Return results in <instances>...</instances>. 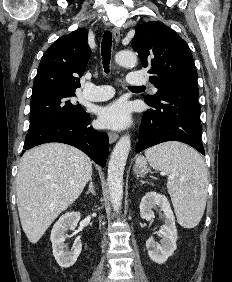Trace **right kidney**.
I'll return each instance as SVG.
<instances>
[{
	"label": "right kidney",
	"mask_w": 232,
	"mask_h": 282,
	"mask_svg": "<svg viewBox=\"0 0 232 282\" xmlns=\"http://www.w3.org/2000/svg\"><path fill=\"white\" fill-rule=\"evenodd\" d=\"M79 220V212H67L59 218L52 228L50 239L52 242L53 255L62 268H69L74 265L81 253L82 244L80 241H77L73 245L71 251L65 249L66 245L64 243L66 238L65 233L69 229L74 230Z\"/></svg>",
	"instance_id": "obj_1"
}]
</instances>
